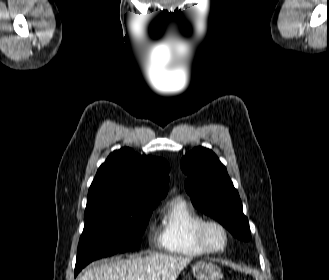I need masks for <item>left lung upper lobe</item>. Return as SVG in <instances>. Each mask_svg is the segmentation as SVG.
<instances>
[{
    "mask_svg": "<svg viewBox=\"0 0 329 280\" xmlns=\"http://www.w3.org/2000/svg\"><path fill=\"white\" fill-rule=\"evenodd\" d=\"M181 167L189 177L185 189L193 206L212 215L238 239L250 240L239 194L217 156L209 149L197 147L182 158Z\"/></svg>",
    "mask_w": 329,
    "mask_h": 280,
    "instance_id": "obj_1",
    "label": "left lung upper lobe"
}]
</instances>
